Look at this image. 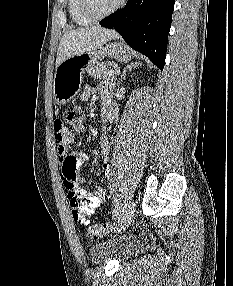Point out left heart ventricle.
I'll use <instances>...</instances> for the list:
<instances>
[{
    "mask_svg": "<svg viewBox=\"0 0 233 286\" xmlns=\"http://www.w3.org/2000/svg\"><path fill=\"white\" fill-rule=\"evenodd\" d=\"M95 13H102L112 8L118 0H90Z\"/></svg>",
    "mask_w": 233,
    "mask_h": 286,
    "instance_id": "obj_1",
    "label": "left heart ventricle"
}]
</instances>
